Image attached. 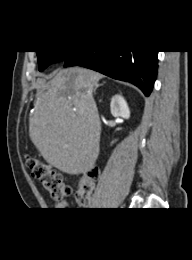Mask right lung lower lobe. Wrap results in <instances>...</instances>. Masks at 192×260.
Returning <instances> with one entry per match:
<instances>
[{
	"mask_svg": "<svg viewBox=\"0 0 192 260\" xmlns=\"http://www.w3.org/2000/svg\"><path fill=\"white\" fill-rule=\"evenodd\" d=\"M158 51H79L73 52L64 67L83 66L112 78L128 81L149 96L157 74Z\"/></svg>",
	"mask_w": 192,
	"mask_h": 260,
	"instance_id": "1",
	"label": "right lung lower lobe"
}]
</instances>
